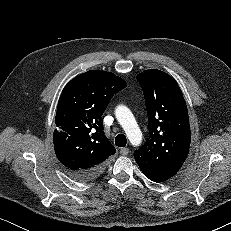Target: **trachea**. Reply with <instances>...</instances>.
Listing matches in <instances>:
<instances>
[{"instance_id": "1", "label": "trachea", "mask_w": 231, "mask_h": 231, "mask_svg": "<svg viewBox=\"0 0 231 231\" xmlns=\"http://www.w3.org/2000/svg\"><path fill=\"white\" fill-rule=\"evenodd\" d=\"M127 144L126 136L123 134H118L115 138V145L118 147H125Z\"/></svg>"}]
</instances>
